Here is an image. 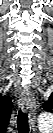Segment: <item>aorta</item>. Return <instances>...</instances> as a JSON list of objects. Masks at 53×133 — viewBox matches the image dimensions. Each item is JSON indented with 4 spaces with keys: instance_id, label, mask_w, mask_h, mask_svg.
<instances>
[{
    "instance_id": "762f6f07",
    "label": "aorta",
    "mask_w": 53,
    "mask_h": 133,
    "mask_svg": "<svg viewBox=\"0 0 53 133\" xmlns=\"http://www.w3.org/2000/svg\"><path fill=\"white\" fill-rule=\"evenodd\" d=\"M39 127L41 129H49L52 126V115L51 113H42L38 117Z\"/></svg>"
}]
</instances>
